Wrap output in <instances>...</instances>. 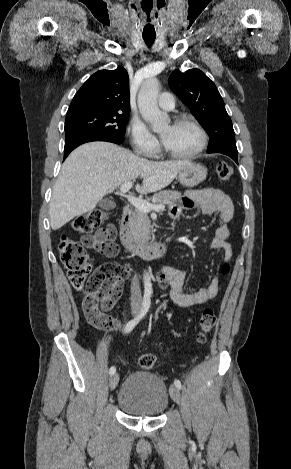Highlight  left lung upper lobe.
<instances>
[{
    "label": "left lung upper lobe",
    "instance_id": "left-lung-upper-lobe-1",
    "mask_svg": "<svg viewBox=\"0 0 291 469\" xmlns=\"http://www.w3.org/2000/svg\"><path fill=\"white\" fill-rule=\"evenodd\" d=\"M169 86L207 130L210 136L208 152L237 150L232 121L224 101L215 84L202 71L196 68L185 73L174 70L169 77Z\"/></svg>",
    "mask_w": 291,
    "mask_h": 469
}]
</instances>
